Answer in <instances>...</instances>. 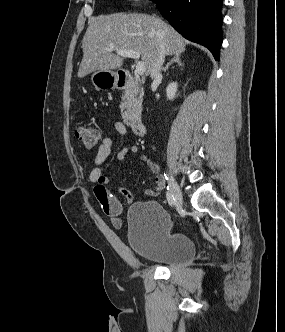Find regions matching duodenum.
<instances>
[{
  "label": "duodenum",
  "instance_id": "410a0bca",
  "mask_svg": "<svg viewBox=\"0 0 285 332\" xmlns=\"http://www.w3.org/2000/svg\"><path fill=\"white\" fill-rule=\"evenodd\" d=\"M117 85L120 89L132 90L136 85L135 78L130 72H121L118 75ZM130 126L136 135L144 136L146 134V125L141 120H133Z\"/></svg>",
  "mask_w": 285,
  "mask_h": 332
}]
</instances>
